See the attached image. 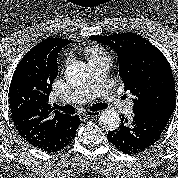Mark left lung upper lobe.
Returning a JSON list of instances; mask_svg holds the SVG:
<instances>
[{
  "label": "left lung upper lobe",
  "mask_w": 178,
  "mask_h": 178,
  "mask_svg": "<svg viewBox=\"0 0 178 178\" xmlns=\"http://www.w3.org/2000/svg\"><path fill=\"white\" fill-rule=\"evenodd\" d=\"M115 52L124 90L134 96L133 112L158 109L173 112L176 92L171 67L149 41L134 33L91 36Z\"/></svg>",
  "instance_id": "obj_1"
}]
</instances>
